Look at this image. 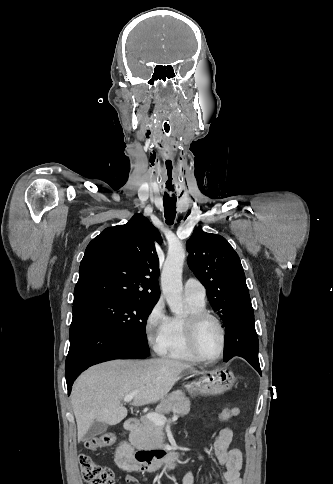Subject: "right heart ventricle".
Returning a JSON list of instances; mask_svg holds the SVG:
<instances>
[{
  "mask_svg": "<svg viewBox=\"0 0 333 484\" xmlns=\"http://www.w3.org/2000/svg\"><path fill=\"white\" fill-rule=\"evenodd\" d=\"M187 313L182 316L168 317L163 342L159 353L168 359L197 363L199 360L191 352L186 338V319L188 315L206 311V303L186 297Z\"/></svg>",
  "mask_w": 333,
  "mask_h": 484,
  "instance_id": "obj_1",
  "label": "right heart ventricle"
}]
</instances>
